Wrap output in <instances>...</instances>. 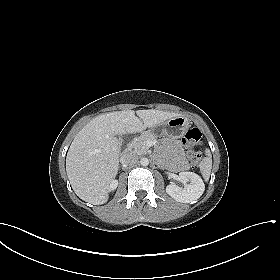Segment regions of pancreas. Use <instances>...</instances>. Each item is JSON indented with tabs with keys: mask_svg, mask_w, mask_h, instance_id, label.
<instances>
[{
	"mask_svg": "<svg viewBox=\"0 0 280 280\" xmlns=\"http://www.w3.org/2000/svg\"><path fill=\"white\" fill-rule=\"evenodd\" d=\"M155 139H156L155 135L148 131L142 133L139 137L134 138L131 143L133 152L138 155L146 154L148 151V147L146 145L147 141L149 140L153 141Z\"/></svg>",
	"mask_w": 280,
	"mask_h": 280,
	"instance_id": "1",
	"label": "pancreas"
}]
</instances>
